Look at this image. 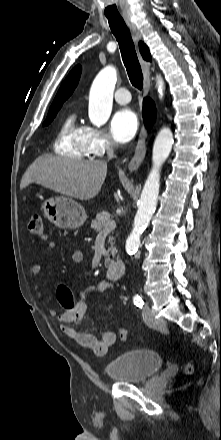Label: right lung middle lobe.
I'll use <instances>...</instances> for the list:
<instances>
[{"mask_svg": "<svg viewBox=\"0 0 221 440\" xmlns=\"http://www.w3.org/2000/svg\"><path fill=\"white\" fill-rule=\"evenodd\" d=\"M61 108V106L55 107L52 110H49L47 118L45 120V122L43 123V126L48 125L56 116L58 110Z\"/></svg>", "mask_w": 221, "mask_h": 440, "instance_id": "dd1d6c3e", "label": "right lung middle lobe"}]
</instances>
